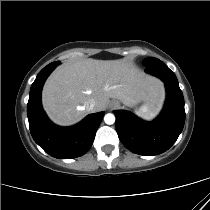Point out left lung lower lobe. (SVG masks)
Returning a JSON list of instances; mask_svg holds the SVG:
<instances>
[{"label":"left lung lower lobe","instance_id":"1","mask_svg":"<svg viewBox=\"0 0 210 210\" xmlns=\"http://www.w3.org/2000/svg\"><path fill=\"white\" fill-rule=\"evenodd\" d=\"M145 71L165 83V106L152 122H145L127 111H114L116 131L120 141L131 152L158 155L168 150L182 132L185 122L184 98L174 72L164 62L158 60L147 65Z\"/></svg>","mask_w":210,"mask_h":210}]
</instances>
